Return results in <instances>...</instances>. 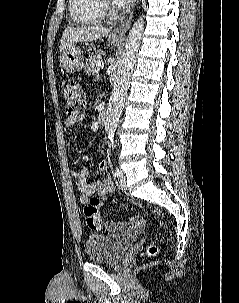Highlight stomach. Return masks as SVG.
I'll list each match as a JSON object with an SVG mask.
<instances>
[{
  "mask_svg": "<svg viewBox=\"0 0 239 303\" xmlns=\"http://www.w3.org/2000/svg\"><path fill=\"white\" fill-rule=\"evenodd\" d=\"M111 44H117L118 40L110 39ZM61 66L69 71L76 72L82 68V55L80 47L72 45L68 49L61 52L60 55Z\"/></svg>",
  "mask_w": 239,
  "mask_h": 303,
  "instance_id": "1",
  "label": "stomach"
}]
</instances>
